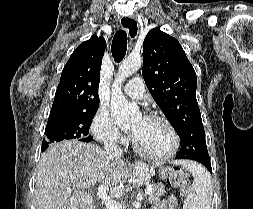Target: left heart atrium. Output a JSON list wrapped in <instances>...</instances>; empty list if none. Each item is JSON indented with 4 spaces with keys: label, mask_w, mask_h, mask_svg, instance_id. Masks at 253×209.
<instances>
[{
    "label": "left heart atrium",
    "mask_w": 253,
    "mask_h": 209,
    "mask_svg": "<svg viewBox=\"0 0 253 209\" xmlns=\"http://www.w3.org/2000/svg\"><path fill=\"white\" fill-rule=\"evenodd\" d=\"M131 136L133 139H135L137 136V131H132Z\"/></svg>",
    "instance_id": "1"
}]
</instances>
